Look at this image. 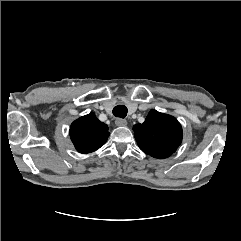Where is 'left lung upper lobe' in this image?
Wrapping results in <instances>:
<instances>
[{"label": "left lung upper lobe", "mask_w": 241, "mask_h": 241, "mask_svg": "<svg viewBox=\"0 0 241 241\" xmlns=\"http://www.w3.org/2000/svg\"><path fill=\"white\" fill-rule=\"evenodd\" d=\"M139 148L154 158L169 157L182 142V127L173 116L150 110L144 123L133 126Z\"/></svg>", "instance_id": "1"}]
</instances>
